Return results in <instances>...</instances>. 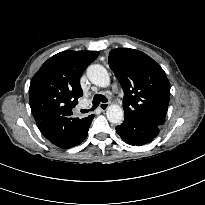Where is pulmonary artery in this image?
<instances>
[{
	"label": "pulmonary artery",
	"mask_w": 205,
	"mask_h": 205,
	"mask_svg": "<svg viewBox=\"0 0 205 205\" xmlns=\"http://www.w3.org/2000/svg\"><path fill=\"white\" fill-rule=\"evenodd\" d=\"M113 88H114V90H117V86L116 85H114Z\"/></svg>",
	"instance_id": "pulmonary-artery-1"
}]
</instances>
